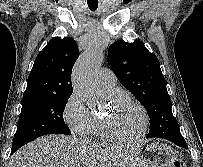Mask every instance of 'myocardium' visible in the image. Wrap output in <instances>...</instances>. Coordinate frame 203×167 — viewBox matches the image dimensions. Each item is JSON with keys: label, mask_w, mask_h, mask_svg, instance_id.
Segmentation results:
<instances>
[{"label": "myocardium", "mask_w": 203, "mask_h": 167, "mask_svg": "<svg viewBox=\"0 0 203 167\" xmlns=\"http://www.w3.org/2000/svg\"><path fill=\"white\" fill-rule=\"evenodd\" d=\"M108 95L112 102L117 100H125L134 105L142 114V127L133 138H122L112 132L109 125V119L106 116H101L99 117V121L104 138L111 142L119 144H132L140 141L145 136L149 125V115L145 107L140 102L123 91L114 90L109 92Z\"/></svg>", "instance_id": "obj_1"}]
</instances>
